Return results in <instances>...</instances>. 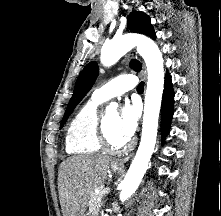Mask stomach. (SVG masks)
<instances>
[{"label": "stomach", "instance_id": "0dacf381", "mask_svg": "<svg viewBox=\"0 0 221 216\" xmlns=\"http://www.w3.org/2000/svg\"><path fill=\"white\" fill-rule=\"evenodd\" d=\"M111 169H112L114 172H119V168L115 167L114 165L111 166ZM84 216H91V214L87 213V214H84Z\"/></svg>", "mask_w": 221, "mask_h": 216}]
</instances>
